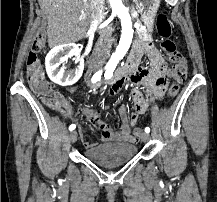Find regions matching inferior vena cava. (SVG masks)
<instances>
[{"label": "inferior vena cava", "instance_id": "obj_1", "mask_svg": "<svg viewBox=\"0 0 217 202\" xmlns=\"http://www.w3.org/2000/svg\"><path fill=\"white\" fill-rule=\"evenodd\" d=\"M89 2L91 22H98V24H101L103 20L102 16L105 0H89ZM111 44L112 40L110 30H108V28H102L99 32V40L94 48L92 56H95V58H108Z\"/></svg>", "mask_w": 217, "mask_h": 202}]
</instances>
